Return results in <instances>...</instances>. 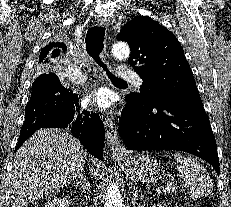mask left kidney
I'll list each match as a JSON object with an SVG mask.
<instances>
[{"instance_id": "1", "label": "left kidney", "mask_w": 231, "mask_h": 207, "mask_svg": "<svg viewBox=\"0 0 231 207\" xmlns=\"http://www.w3.org/2000/svg\"><path fill=\"white\" fill-rule=\"evenodd\" d=\"M153 207H167V206L166 205L157 204V205H153Z\"/></svg>"}]
</instances>
